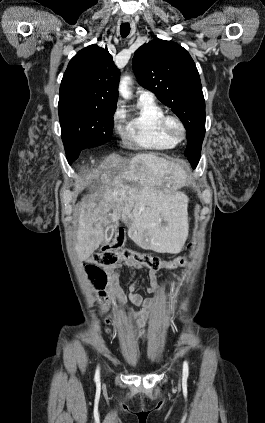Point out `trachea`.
<instances>
[{
  "label": "trachea",
  "mask_w": 265,
  "mask_h": 423,
  "mask_svg": "<svg viewBox=\"0 0 265 423\" xmlns=\"http://www.w3.org/2000/svg\"><path fill=\"white\" fill-rule=\"evenodd\" d=\"M130 33V24L128 22L122 23L120 26V34L122 37H127Z\"/></svg>",
  "instance_id": "3493384b"
}]
</instances>
